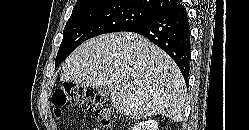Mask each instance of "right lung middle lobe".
<instances>
[{
  "instance_id": "obj_1",
  "label": "right lung middle lobe",
  "mask_w": 249,
  "mask_h": 130,
  "mask_svg": "<svg viewBox=\"0 0 249 130\" xmlns=\"http://www.w3.org/2000/svg\"><path fill=\"white\" fill-rule=\"evenodd\" d=\"M156 15L157 13L153 11L113 0L97 1L75 7L64 28L55 66L57 67L87 39L105 33L125 31Z\"/></svg>"
}]
</instances>
